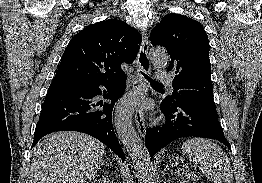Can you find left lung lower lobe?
<instances>
[{"instance_id": "0a47b994", "label": "left lung lower lobe", "mask_w": 262, "mask_h": 183, "mask_svg": "<svg viewBox=\"0 0 262 183\" xmlns=\"http://www.w3.org/2000/svg\"><path fill=\"white\" fill-rule=\"evenodd\" d=\"M161 110L166 123L162 127L148 128L145 135V144L151 157L170 142L192 136L216 139L231 150L213 102L180 100L169 103L164 99Z\"/></svg>"}]
</instances>
